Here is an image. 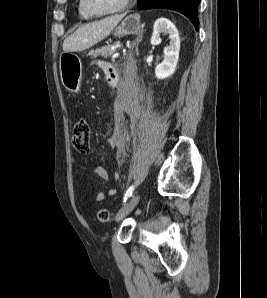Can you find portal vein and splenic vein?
I'll use <instances>...</instances> for the list:
<instances>
[{
	"label": "portal vein and splenic vein",
	"mask_w": 267,
	"mask_h": 298,
	"mask_svg": "<svg viewBox=\"0 0 267 298\" xmlns=\"http://www.w3.org/2000/svg\"><path fill=\"white\" fill-rule=\"evenodd\" d=\"M118 56H119V52H116L112 55V58L114 59V58H117Z\"/></svg>",
	"instance_id": "obj_1"
}]
</instances>
